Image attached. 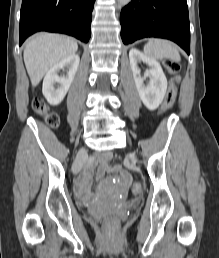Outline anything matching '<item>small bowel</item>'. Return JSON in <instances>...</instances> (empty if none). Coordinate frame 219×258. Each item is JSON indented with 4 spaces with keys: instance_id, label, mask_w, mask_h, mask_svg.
<instances>
[{
    "instance_id": "1",
    "label": "small bowel",
    "mask_w": 219,
    "mask_h": 258,
    "mask_svg": "<svg viewBox=\"0 0 219 258\" xmlns=\"http://www.w3.org/2000/svg\"><path fill=\"white\" fill-rule=\"evenodd\" d=\"M174 85H179L180 81L179 80H174L173 81ZM110 158V154L106 153L102 156H97L93 158V164L98 165V173L97 176L98 178L102 179L108 169L107 166V159ZM109 166L111 165L110 163L108 164ZM114 172H119V176H121V183L122 184H130V174L128 171H124V167H114ZM92 180V173L91 171L85 172L79 179L77 183V190L80 194V196L84 199H87L90 197L89 193V186Z\"/></svg>"
}]
</instances>
